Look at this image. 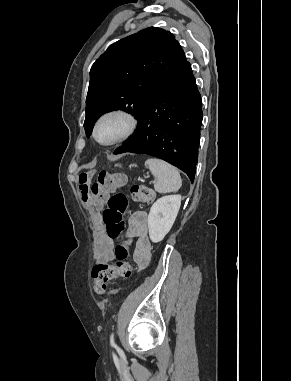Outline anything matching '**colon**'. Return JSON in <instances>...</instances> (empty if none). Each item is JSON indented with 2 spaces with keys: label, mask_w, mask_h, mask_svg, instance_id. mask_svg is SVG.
Masks as SVG:
<instances>
[{
  "label": "colon",
  "mask_w": 291,
  "mask_h": 381,
  "mask_svg": "<svg viewBox=\"0 0 291 381\" xmlns=\"http://www.w3.org/2000/svg\"><path fill=\"white\" fill-rule=\"evenodd\" d=\"M126 184V179L120 175H112L102 171L98 175L95 183L87 185L81 182L80 190L84 202L99 205L103 201L107 202V208L101 214V222L106 234L111 239H116L118 244L115 248L116 261L114 264L99 263L92 269L94 279V290L97 294H104L108 291L107 283L117 277L129 278L133 273V266L130 263V251L124 244L123 231L125 222L124 213L129 204V197L121 192H116ZM153 191L140 184H134L130 188V199L139 203H149L152 200ZM112 293L115 290H111Z\"/></svg>",
  "instance_id": "colon-1"
}]
</instances>
